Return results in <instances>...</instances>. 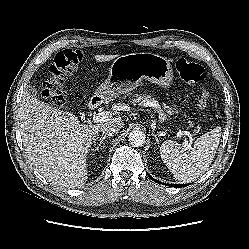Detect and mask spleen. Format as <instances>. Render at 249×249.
Returning <instances> with one entry per match:
<instances>
[{
  "label": "spleen",
  "mask_w": 249,
  "mask_h": 249,
  "mask_svg": "<svg viewBox=\"0 0 249 249\" xmlns=\"http://www.w3.org/2000/svg\"><path fill=\"white\" fill-rule=\"evenodd\" d=\"M220 137L221 128L217 127L200 136L192 148H183L177 142L167 140L160 147L161 158L176 179L183 183L192 182L210 166Z\"/></svg>",
  "instance_id": "1"
}]
</instances>
